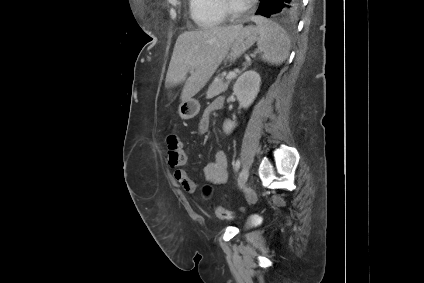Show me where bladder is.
<instances>
[{
  "mask_svg": "<svg viewBox=\"0 0 424 283\" xmlns=\"http://www.w3.org/2000/svg\"><path fill=\"white\" fill-rule=\"evenodd\" d=\"M256 225L255 221L253 219H248L246 222V228H252Z\"/></svg>",
  "mask_w": 424,
  "mask_h": 283,
  "instance_id": "bladder-1",
  "label": "bladder"
}]
</instances>
